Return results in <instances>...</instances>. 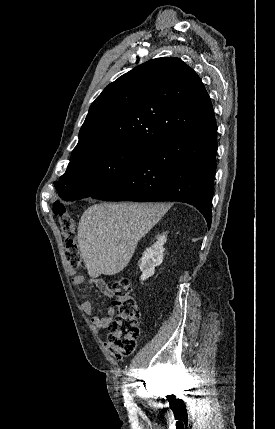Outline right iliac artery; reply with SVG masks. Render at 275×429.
<instances>
[{
    "label": "right iliac artery",
    "instance_id": "1",
    "mask_svg": "<svg viewBox=\"0 0 275 429\" xmlns=\"http://www.w3.org/2000/svg\"><path fill=\"white\" fill-rule=\"evenodd\" d=\"M124 397H125V402L127 403V405L129 407H132L133 403H132L131 397L129 396V393L127 392V390H125V392H124Z\"/></svg>",
    "mask_w": 275,
    "mask_h": 429
}]
</instances>
